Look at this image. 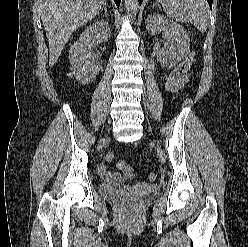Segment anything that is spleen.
Instances as JSON below:
<instances>
[{
	"instance_id": "3e777b00",
	"label": "spleen",
	"mask_w": 248,
	"mask_h": 247,
	"mask_svg": "<svg viewBox=\"0 0 248 247\" xmlns=\"http://www.w3.org/2000/svg\"><path fill=\"white\" fill-rule=\"evenodd\" d=\"M168 17L189 22L201 32L209 23V6L206 0H159Z\"/></svg>"
}]
</instances>
